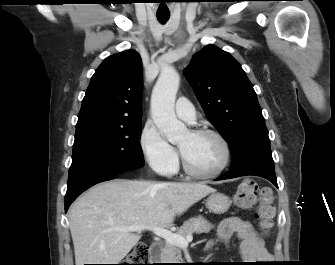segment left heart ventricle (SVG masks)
I'll use <instances>...</instances> for the list:
<instances>
[{
  "instance_id": "obj_1",
  "label": "left heart ventricle",
  "mask_w": 335,
  "mask_h": 265,
  "mask_svg": "<svg viewBox=\"0 0 335 265\" xmlns=\"http://www.w3.org/2000/svg\"><path fill=\"white\" fill-rule=\"evenodd\" d=\"M178 146L188 165L198 172H211L223 160V148L213 136H194L186 133Z\"/></svg>"
}]
</instances>
